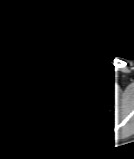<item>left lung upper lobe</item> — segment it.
Masks as SVG:
<instances>
[{"mask_svg":"<svg viewBox=\"0 0 134 159\" xmlns=\"http://www.w3.org/2000/svg\"><path fill=\"white\" fill-rule=\"evenodd\" d=\"M71 107L80 118L96 120L105 108V97L95 81H81L71 90Z\"/></svg>","mask_w":134,"mask_h":159,"instance_id":"obj_1","label":"left lung upper lobe"}]
</instances>
